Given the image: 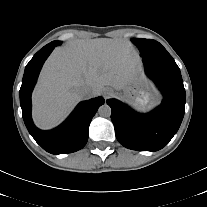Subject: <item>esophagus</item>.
<instances>
[{
	"label": "esophagus",
	"mask_w": 207,
	"mask_h": 207,
	"mask_svg": "<svg viewBox=\"0 0 207 207\" xmlns=\"http://www.w3.org/2000/svg\"><path fill=\"white\" fill-rule=\"evenodd\" d=\"M113 94L112 90L110 89H106L104 92H103V96L105 99L109 98L111 95Z\"/></svg>",
	"instance_id": "34e87169"
}]
</instances>
